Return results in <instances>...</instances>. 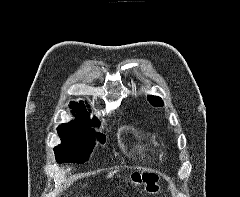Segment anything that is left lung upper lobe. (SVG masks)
<instances>
[{
	"instance_id": "left-lung-upper-lobe-1",
	"label": "left lung upper lobe",
	"mask_w": 240,
	"mask_h": 197,
	"mask_svg": "<svg viewBox=\"0 0 240 197\" xmlns=\"http://www.w3.org/2000/svg\"><path fill=\"white\" fill-rule=\"evenodd\" d=\"M147 99L155 107L164 105V103H163V101L161 100L160 97L148 96Z\"/></svg>"
}]
</instances>
